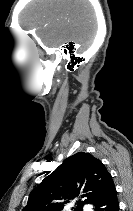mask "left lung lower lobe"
I'll list each match as a JSON object with an SVG mask.
<instances>
[{"instance_id":"0a47b994","label":"left lung lower lobe","mask_w":133,"mask_h":211,"mask_svg":"<svg viewBox=\"0 0 133 211\" xmlns=\"http://www.w3.org/2000/svg\"><path fill=\"white\" fill-rule=\"evenodd\" d=\"M92 206L93 211H119V203L115 186H113L107 194H105Z\"/></svg>"}]
</instances>
